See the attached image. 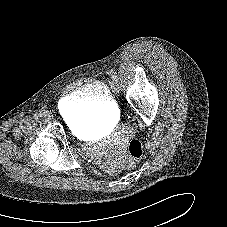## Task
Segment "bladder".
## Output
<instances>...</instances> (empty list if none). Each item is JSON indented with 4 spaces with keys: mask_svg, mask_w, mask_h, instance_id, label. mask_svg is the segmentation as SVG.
<instances>
[{
    "mask_svg": "<svg viewBox=\"0 0 227 227\" xmlns=\"http://www.w3.org/2000/svg\"><path fill=\"white\" fill-rule=\"evenodd\" d=\"M61 104L78 132H89L94 126L107 125L118 111L116 101L101 81L85 84L69 93Z\"/></svg>",
    "mask_w": 227,
    "mask_h": 227,
    "instance_id": "bladder-1",
    "label": "bladder"
}]
</instances>
